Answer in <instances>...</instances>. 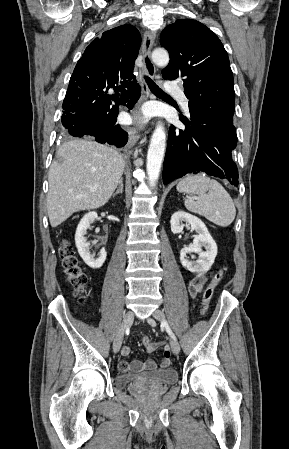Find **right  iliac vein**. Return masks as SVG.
Listing matches in <instances>:
<instances>
[{
    "label": "right iliac vein",
    "mask_w": 289,
    "mask_h": 449,
    "mask_svg": "<svg viewBox=\"0 0 289 449\" xmlns=\"http://www.w3.org/2000/svg\"><path fill=\"white\" fill-rule=\"evenodd\" d=\"M133 320H134L133 312L132 311H127L124 314L122 324L120 326L118 334H117V336H116V338L114 340V343H113V351L115 353L119 352V350L121 348V344H122L123 335H124L126 329L132 324Z\"/></svg>",
    "instance_id": "right-iliac-vein-1"
}]
</instances>
